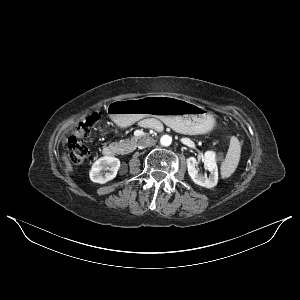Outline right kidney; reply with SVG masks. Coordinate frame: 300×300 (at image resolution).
<instances>
[{
    "label": "right kidney",
    "mask_w": 300,
    "mask_h": 300,
    "mask_svg": "<svg viewBox=\"0 0 300 300\" xmlns=\"http://www.w3.org/2000/svg\"><path fill=\"white\" fill-rule=\"evenodd\" d=\"M120 160L112 156H104L96 160L89 172L91 181L104 184L116 177ZM107 171V172H104Z\"/></svg>",
    "instance_id": "1"
}]
</instances>
